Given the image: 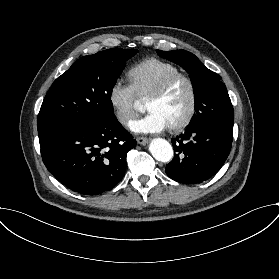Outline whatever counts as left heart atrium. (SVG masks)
<instances>
[{
    "instance_id": "1",
    "label": "left heart atrium",
    "mask_w": 279,
    "mask_h": 279,
    "mask_svg": "<svg viewBox=\"0 0 279 279\" xmlns=\"http://www.w3.org/2000/svg\"><path fill=\"white\" fill-rule=\"evenodd\" d=\"M168 127L167 121L155 111H149L146 116L133 121L130 125L132 131L141 134L160 133Z\"/></svg>"
}]
</instances>
